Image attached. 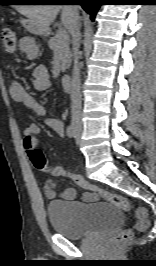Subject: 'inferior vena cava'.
<instances>
[{"label":"inferior vena cava","instance_id":"602c4592","mask_svg":"<svg viewBox=\"0 0 156 266\" xmlns=\"http://www.w3.org/2000/svg\"><path fill=\"white\" fill-rule=\"evenodd\" d=\"M73 19L70 27V33L72 35L73 43V57L74 66L71 81V114L72 121L74 123L81 122V105H82V94H81V79H80V18L77 5H71Z\"/></svg>","mask_w":156,"mask_h":266}]
</instances>
